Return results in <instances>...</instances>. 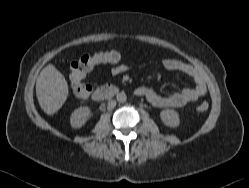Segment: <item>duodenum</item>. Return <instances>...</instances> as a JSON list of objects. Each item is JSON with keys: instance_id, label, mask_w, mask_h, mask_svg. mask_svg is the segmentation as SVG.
<instances>
[{"instance_id": "obj_1", "label": "duodenum", "mask_w": 249, "mask_h": 188, "mask_svg": "<svg viewBox=\"0 0 249 188\" xmlns=\"http://www.w3.org/2000/svg\"><path fill=\"white\" fill-rule=\"evenodd\" d=\"M118 93V88L113 85L101 86L95 89L92 94V98L95 101H101L105 99H110Z\"/></svg>"}]
</instances>
